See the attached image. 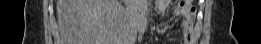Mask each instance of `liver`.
Returning a JSON list of instances; mask_svg holds the SVG:
<instances>
[{
  "label": "liver",
  "mask_w": 261,
  "mask_h": 44,
  "mask_svg": "<svg viewBox=\"0 0 261 44\" xmlns=\"http://www.w3.org/2000/svg\"><path fill=\"white\" fill-rule=\"evenodd\" d=\"M118 0H58L56 9L61 35L68 44H116L134 40L133 30L121 25L133 24L127 19ZM118 44V43H117Z\"/></svg>",
  "instance_id": "1"
}]
</instances>
